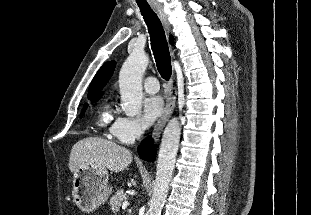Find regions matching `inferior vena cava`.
<instances>
[{
  "label": "inferior vena cava",
  "instance_id": "inferior-vena-cava-1",
  "mask_svg": "<svg viewBox=\"0 0 311 215\" xmlns=\"http://www.w3.org/2000/svg\"><path fill=\"white\" fill-rule=\"evenodd\" d=\"M141 135V130H137L136 137L138 138Z\"/></svg>",
  "mask_w": 311,
  "mask_h": 215
}]
</instances>
